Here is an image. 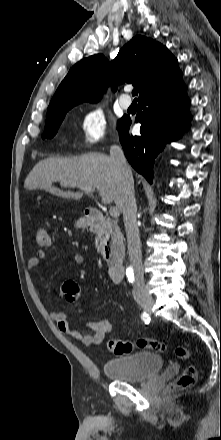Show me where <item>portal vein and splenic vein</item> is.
Segmentation results:
<instances>
[{"label":"portal vein and splenic vein","mask_w":221,"mask_h":440,"mask_svg":"<svg viewBox=\"0 0 221 440\" xmlns=\"http://www.w3.org/2000/svg\"><path fill=\"white\" fill-rule=\"evenodd\" d=\"M80 189L88 193H92L95 191V189L90 186H81ZM109 213L110 216L113 218H117L120 215L119 210L116 207H110Z\"/></svg>","instance_id":"18ae733b"}]
</instances>
